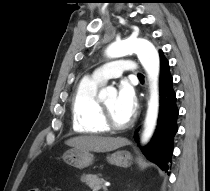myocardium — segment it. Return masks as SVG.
Masks as SVG:
<instances>
[{
  "label": "myocardium",
  "instance_id": "f54148a6",
  "mask_svg": "<svg viewBox=\"0 0 210 191\" xmlns=\"http://www.w3.org/2000/svg\"><path fill=\"white\" fill-rule=\"evenodd\" d=\"M100 113H101V121L103 125L105 126V128L109 131L125 130L132 125V119H129L124 124H117L113 120L108 108L106 107L103 101H100Z\"/></svg>",
  "mask_w": 210,
  "mask_h": 191
}]
</instances>
